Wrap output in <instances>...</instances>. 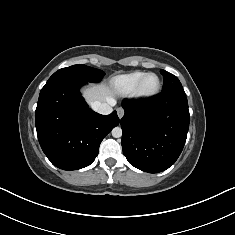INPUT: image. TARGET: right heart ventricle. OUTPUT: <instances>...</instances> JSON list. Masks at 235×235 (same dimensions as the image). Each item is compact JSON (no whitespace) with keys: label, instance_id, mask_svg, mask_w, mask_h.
Instances as JSON below:
<instances>
[{"label":"right heart ventricle","instance_id":"e07e8e85","mask_svg":"<svg viewBox=\"0 0 235 235\" xmlns=\"http://www.w3.org/2000/svg\"><path fill=\"white\" fill-rule=\"evenodd\" d=\"M144 74L145 72L136 71L117 76L113 79L112 85L118 93L123 95H130L134 92L138 82Z\"/></svg>","mask_w":235,"mask_h":235}]
</instances>
